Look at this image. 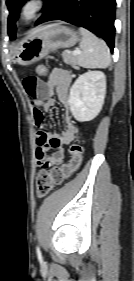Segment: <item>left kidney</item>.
<instances>
[{"label": "left kidney", "mask_w": 134, "mask_h": 281, "mask_svg": "<svg viewBox=\"0 0 134 281\" xmlns=\"http://www.w3.org/2000/svg\"><path fill=\"white\" fill-rule=\"evenodd\" d=\"M106 93V77L102 71L80 75L70 89L69 107L80 122L93 120L101 111Z\"/></svg>", "instance_id": "left-kidney-1"}]
</instances>
